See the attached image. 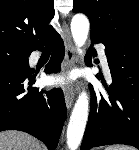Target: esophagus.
<instances>
[{
    "mask_svg": "<svg viewBox=\"0 0 139 150\" xmlns=\"http://www.w3.org/2000/svg\"><path fill=\"white\" fill-rule=\"evenodd\" d=\"M64 44L66 53V67L69 69L76 63L75 48L71 38V33L67 24L63 25ZM75 99V88L68 87L65 91V102L68 109L71 108Z\"/></svg>",
    "mask_w": 139,
    "mask_h": 150,
    "instance_id": "esophagus-1",
    "label": "esophagus"
}]
</instances>
